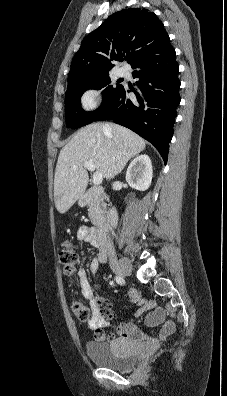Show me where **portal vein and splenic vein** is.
<instances>
[{"mask_svg":"<svg viewBox=\"0 0 227 396\" xmlns=\"http://www.w3.org/2000/svg\"><path fill=\"white\" fill-rule=\"evenodd\" d=\"M84 167L89 170V171H94L95 170V166L92 162H85L84 163ZM103 180V176L100 172H95L93 174V183L94 185H99L102 183Z\"/></svg>","mask_w":227,"mask_h":396,"instance_id":"18ae733b","label":"portal vein and splenic vein"}]
</instances>
